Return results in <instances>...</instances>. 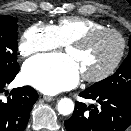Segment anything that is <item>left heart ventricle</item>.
Instances as JSON below:
<instances>
[{
	"mask_svg": "<svg viewBox=\"0 0 131 131\" xmlns=\"http://www.w3.org/2000/svg\"><path fill=\"white\" fill-rule=\"evenodd\" d=\"M119 48L118 37L105 33L94 37L83 47H67L65 51L75 60L81 74L95 75L113 62Z\"/></svg>",
	"mask_w": 131,
	"mask_h": 131,
	"instance_id": "obj_1",
	"label": "left heart ventricle"
}]
</instances>
